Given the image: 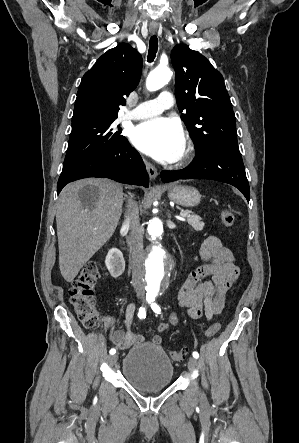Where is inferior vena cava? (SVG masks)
<instances>
[{
    "instance_id": "obj_1",
    "label": "inferior vena cava",
    "mask_w": 299,
    "mask_h": 443,
    "mask_svg": "<svg viewBox=\"0 0 299 443\" xmlns=\"http://www.w3.org/2000/svg\"><path fill=\"white\" fill-rule=\"evenodd\" d=\"M125 222L129 225L130 235L128 237L132 252V284L137 296L144 295V249L143 234L144 231L139 222V210L136 202L128 200Z\"/></svg>"
}]
</instances>
